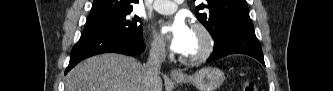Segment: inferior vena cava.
<instances>
[{
	"instance_id": "inferior-vena-cava-1",
	"label": "inferior vena cava",
	"mask_w": 333,
	"mask_h": 91,
	"mask_svg": "<svg viewBox=\"0 0 333 91\" xmlns=\"http://www.w3.org/2000/svg\"><path fill=\"white\" fill-rule=\"evenodd\" d=\"M165 44L163 42H155L151 45L149 58L145 66L146 78L150 81L159 79L162 63L165 61Z\"/></svg>"
}]
</instances>
